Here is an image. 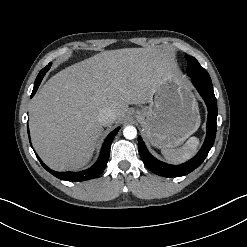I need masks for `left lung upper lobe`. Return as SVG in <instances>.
I'll return each mask as SVG.
<instances>
[{
  "instance_id": "left-lung-upper-lobe-1",
  "label": "left lung upper lobe",
  "mask_w": 247,
  "mask_h": 247,
  "mask_svg": "<svg viewBox=\"0 0 247 247\" xmlns=\"http://www.w3.org/2000/svg\"><path fill=\"white\" fill-rule=\"evenodd\" d=\"M186 59L188 61L187 73L190 75L194 74L197 78L211 80L208 72L198 63V61L189 55H186Z\"/></svg>"
}]
</instances>
